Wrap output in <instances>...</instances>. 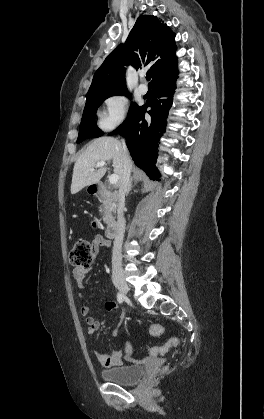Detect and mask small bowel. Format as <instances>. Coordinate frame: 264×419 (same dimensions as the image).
I'll use <instances>...</instances> for the list:
<instances>
[{
    "instance_id": "1",
    "label": "small bowel",
    "mask_w": 264,
    "mask_h": 419,
    "mask_svg": "<svg viewBox=\"0 0 264 419\" xmlns=\"http://www.w3.org/2000/svg\"><path fill=\"white\" fill-rule=\"evenodd\" d=\"M110 245H111L110 240L104 238L101 235H96L91 243L92 252L94 255H96L99 252L100 248L109 247ZM88 270L89 269L76 267L72 271V276L74 280L76 281L80 294H82V292L85 289V279H86V274ZM105 308L109 313H114L116 311L115 303L110 302V301L105 304ZM89 313H90V308L88 306L83 305L80 307V314L83 317H85V322L88 326V333L90 335H93L101 329V323L98 320H96L94 317L90 316ZM155 329L158 330V333L155 336H160L163 332L162 326L159 324H153L150 328V332L153 334ZM119 334H120V329H119V326H117L116 328L113 329L112 335L114 337H118ZM174 339L175 338L169 339L168 342L162 347H151L148 350L149 356L158 357V356H162L166 354L172 348L170 344L172 340ZM95 354L98 361L103 367L111 368L115 366H120L123 364L125 360H129L133 354V346L130 343H126L124 347V353L114 352L112 354H106L101 351H96Z\"/></svg>"
}]
</instances>
